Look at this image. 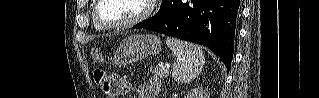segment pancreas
<instances>
[{
    "label": "pancreas",
    "instance_id": "cf45deb5",
    "mask_svg": "<svg viewBox=\"0 0 319 98\" xmlns=\"http://www.w3.org/2000/svg\"><path fill=\"white\" fill-rule=\"evenodd\" d=\"M150 71L152 72L153 77L157 79L166 78L168 75V70H163L162 67L158 66H151Z\"/></svg>",
    "mask_w": 319,
    "mask_h": 98
}]
</instances>
